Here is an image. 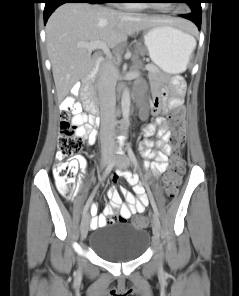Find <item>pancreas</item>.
Instances as JSON below:
<instances>
[{
    "label": "pancreas",
    "mask_w": 239,
    "mask_h": 296,
    "mask_svg": "<svg viewBox=\"0 0 239 296\" xmlns=\"http://www.w3.org/2000/svg\"><path fill=\"white\" fill-rule=\"evenodd\" d=\"M151 70L149 71V76L154 78V77H157V76H160L161 75V71L158 67H156L155 65H149Z\"/></svg>",
    "instance_id": "pancreas-1"
}]
</instances>
